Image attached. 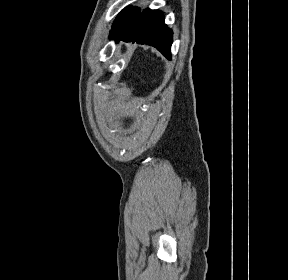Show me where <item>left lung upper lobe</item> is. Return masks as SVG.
Wrapping results in <instances>:
<instances>
[{
	"label": "left lung upper lobe",
	"mask_w": 288,
	"mask_h": 280,
	"mask_svg": "<svg viewBox=\"0 0 288 280\" xmlns=\"http://www.w3.org/2000/svg\"><path fill=\"white\" fill-rule=\"evenodd\" d=\"M138 10L139 8L133 6H128L125 9H123L116 17V20L112 25V30L110 31L109 37L113 39L116 36V34L123 28L128 19Z\"/></svg>",
	"instance_id": "obj_1"
}]
</instances>
